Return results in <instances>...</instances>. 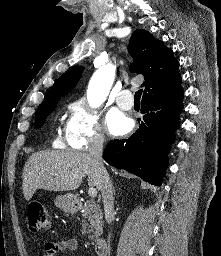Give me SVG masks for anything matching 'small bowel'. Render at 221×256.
I'll return each mask as SVG.
<instances>
[{"label":"small bowel","mask_w":221,"mask_h":256,"mask_svg":"<svg viewBox=\"0 0 221 256\" xmlns=\"http://www.w3.org/2000/svg\"><path fill=\"white\" fill-rule=\"evenodd\" d=\"M78 246V240L74 238L49 241L44 244L43 256H55L57 252L76 251Z\"/></svg>","instance_id":"obj_1"}]
</instances>
